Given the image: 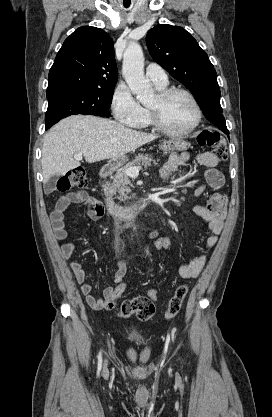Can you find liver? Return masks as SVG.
I'll list each match as a JSON object with an SVG mask.
<instances>
[{
    "mask_svg": "<svg viewBox=\"0 0 272 417\" xmlns=\"http://www.w3.org/2000/svg\"><path fill=\"white\" fill-rule=\"evenodd\" d=\"M158 136L129 129L122 124L91 115H73L54 125L44 136L42 173L44 182L80 166L75 154L87 163L115 159Z\"/></svg>",
    "mask_w": 272,
    "mask_h": 417,
    "instance_id": "obj_1",
    "label": "liver"
}]
</instances>
